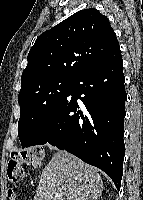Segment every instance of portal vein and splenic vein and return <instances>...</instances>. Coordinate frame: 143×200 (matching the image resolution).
Segmentation results:
<instances>
[{"label":"portal vein and splenic vein","instance_id":"obj_1","mask_svg":"<svg viewBox=\"0 0 143 200\" xmlns=\"http://www.w3.org/2000/svg\"><path fill=\"white\" fill-rule=\"evenodd\" d=\"M55 196H56V197H60V194H58V193H55Z\"/></svg>","mask_w":143,"mask_h":200}]
</instances>
